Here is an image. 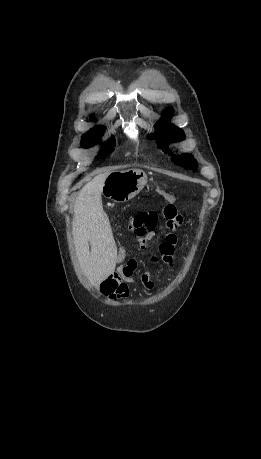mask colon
<instances>
[{"instance_id":"obj_1","label":"colon","mask_w":261,"mask_h":459,"mask_svg":"<svg viewBox=\"0 0 261 459\" xmlns=\"http://www.w3.org/2000/svg\"><path fill=\"white\" fill-rule=\"evenodd\" d=\"M157 193L164 200L161 216L165 225L169 228L166 231V236L167 238H176V228L180 227L183 222V217L176 209V198L164 187H159ZM158 222L159 217L155 211H143L132 218L130 225L134 232L144 234L149 231H154ZM120 242L121 245L116 247V252L118 253L117 258L122 261H129L131 259V254L126 247L128 242L124 238H121Z\"/></svg>"}]
</instances>
